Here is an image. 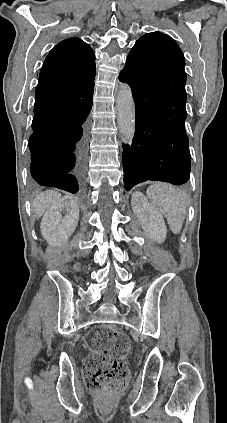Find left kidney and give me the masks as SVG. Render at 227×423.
Here are the masks:
<instances>
[{"label":"left kidney","instance_id":"left-kidney-1","mask_svg":"<svg viewBox=\"0 0 227 423\" xmlns=\"http://www.w3.org/2000/svg\"><path fill=\"white\" fill-rule=\"evenodd\" d=\"M131 204L132 210L138 221H140L146 235H148L150 239L157 241V243L165 241L167 227L164 217L159 211L154 210L144 194H141V192H134V194H132Z\"/></svg>","mask_w":227,"mask_h":423}]
</instances>
